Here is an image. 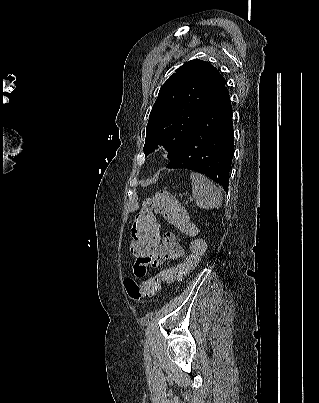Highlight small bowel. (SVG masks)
<instances>
[{
	"label": "small bowel",
	"mask_w": 319,
	"mask_h": 403,
	"mask_svg": "<svg viewBox=\"0 0 319 403\" xmlns=\"http://www.w3.org/2000/svg\"><path fill=\"white\" fill-rule=\"evenodd\" d=\"M183 255L184 249L177 242L175 236L172 233H165L158 247H153V250L150 251V255L147 252L141 253L136 261L137 266L131 265L129 267V281L131 283H137L139 277H143L142 273L145 271H149L150 268L159 267L166 261H177L182 258ZM182 275L183 273L177 272L175 278L180 279Z\"/></svg>",
	"instance_id": "obj_1"
}]
</instances>
